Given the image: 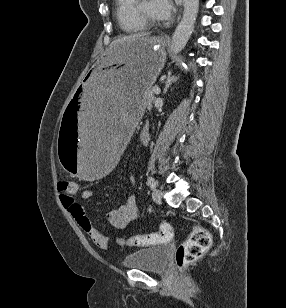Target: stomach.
Masks as SVG:
<instances>
[{
    "label": "stomach",
    "mask_w": 286,
    "mask_h": 308,
    "mask_svg": "<svg viewBox=\"0 0 286 308\" xmlns=\"http://www.w3.org/2000/svg\"><path fill=\"white\" fill-rule=\"evenodd\" d=\"M165 59L163 38L139 36L94 60L60 118L58 153L65 173L81 182H104L115 173Z\"/></svg>",
    "instance_id": "1"
}]
</instances>
